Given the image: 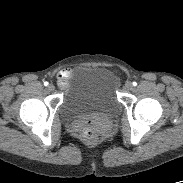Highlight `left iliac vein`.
Segmentation results:
<instances>
[{"label": "left iliac vein", "instance_id": "4c4485c4", "mask_svg": "<svg viewBox=\"0 0 183 183\" xmlns=\"http://www.w3.org/2000/svg\"><path fill=\"white\" fill-rule=\"evenodd\" d=\"M124 87H125L126 90H131L133 85H132L131 82H126Z\"/></svg>", "mask_w": 183, "mask_h": 183}]
</instances>
